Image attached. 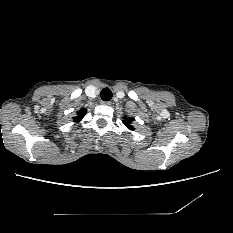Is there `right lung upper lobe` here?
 Wrapping results in <instances>:
<instances>
[{"mask_svg": "<svg viewBox=\"0 0 233 233\" xmlns=\"http://www.w3.org/2000/svg\"><path fill=\"white\" fill-rule=\"evenodd\" d=\"M86 113V109L82 108L79 112H78V116L76 118H74V121L75 122H79L83 116L85 115Z\"/></svg>", "mask_w": 233, "mask_h": 233, "instance_id": "obj_1", "label": "right lung upper lobe"}]
</instances>
